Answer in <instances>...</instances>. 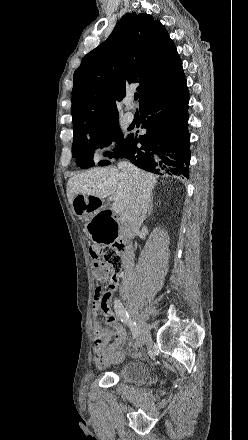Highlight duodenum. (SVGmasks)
I'll return each mask as SVG.
<instances>
[{"mask_svg":"<svg viewBox=\"0 0 248 440\" xmlns=\"http://www.w3.org/2000/svg\"><path fill=\"white\" fill-rule=\"evenodd\" d=\"M115 248L122 255L125 262H127L129 258V248L126 242L122 238H119V241H115ZM119 275L122 276L123 272H120Z\"/></svg>","mask_w":248,"mask_h":440,"instance_id":"410a0bca","label":"duodenum"}]
</instances>
